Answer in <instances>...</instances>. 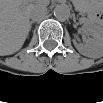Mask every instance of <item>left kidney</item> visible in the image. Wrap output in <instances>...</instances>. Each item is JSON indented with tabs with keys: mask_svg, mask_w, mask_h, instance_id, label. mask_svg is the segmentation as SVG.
Segmentation results:
<instances>
[{
	"mask_svg": "<svg viewBox=\"0 0 103 103\" xmlns=\"http://www.w3.org/2000/svg\"><path fill=\"white\" fill-rule=\"evenodd\" d=\"M91 35L92 38L87 39L86 44L74 42V46L82 55L91 58H98L102 55V34L95 32L91 33Z\"/></svg>",
	"mask_w": 103,
	"mask_h": 103,
	"instance_id": "left-kidney-1",
	"label": "left kidney"
}]
</instances>
